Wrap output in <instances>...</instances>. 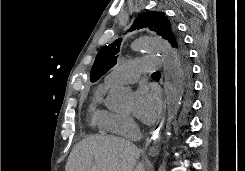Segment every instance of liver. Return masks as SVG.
Segmentation results:
<instances>
[{"instance_id":"6515ba94","label":"liver","mask_w":245,"mask_h":171,"mask_svg":"<svg viewBox=\"0 0 245 171\" xmlns=\"http://www.w3.org/2000/svg\"><path fill=\"white\" fill-rule=\"evenodd\" d=\"M140 149L113 136H89L70 153L65 171H145Z\"/></svg>"}]
</instances>
